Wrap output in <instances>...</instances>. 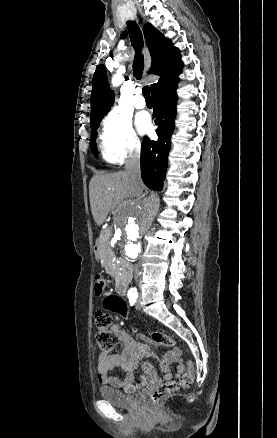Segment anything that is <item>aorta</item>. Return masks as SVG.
Instances as JSON below:
<instances>
[{"label":"aorta","mask_w":277,"mask_h":438,"mask_svg":"<svg viewBox=\"0 0 277 438\" xmlns=\"http://www.w3.org/2000/svg\"><path fill=\"white\" fill-rule=\"evenodd\" d=\"M148 218L140 207L122 209L116 218L115 240L123 256L136 260L143 249L148 233ZM130 291H134L131 289Z\"/></svg>","instance_id":"1"}]
</instances>
